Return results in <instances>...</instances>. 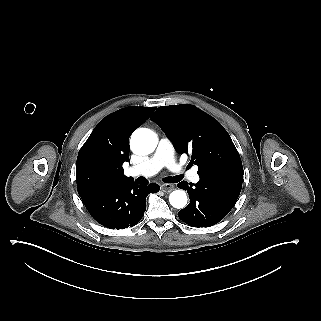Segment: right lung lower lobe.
<instances>
[{
	"label": "right lung lower lobe",
	"mask_w": 321,
	"mask_h": 321,
	"mask_svg": "<svg viewBox=\"0 0 321 321\" xmlns=\"http://www.w3.org/2000/svg\"><path fill=\"white\" fill-rule=\"evenodd\" d=\"M159 189L157 184L138 186L132 182L117 188L91 191L80 197L98 223L111 229H124L141 220L146 210V196Z\"/></svg>",
	"instance_id": "98d812e1"
}]
</instances>
